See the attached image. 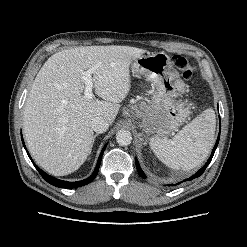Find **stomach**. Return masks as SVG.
Returning <instances> with one entry per match:
<instances>
[{
	"mask_svg": "<svg viewBox=\"0 0 247 247\" xmlns=\"http://www.w3.org/2000/svg\"><path fill=\"white\" fill-rule=\"evenodd\" d=\"M132 73L151 82L154 88L151 100L139 103L135 109L137 125L145 135L164 137L185 122L190 114L181 101L186 85L165 52L140 56L132 64Z\"/></svg>",
	"mask_w": 247,
	"mask_h": 247,
	"instance_id": "obj_1",
	"label": "stomach"
}]
</instances>
